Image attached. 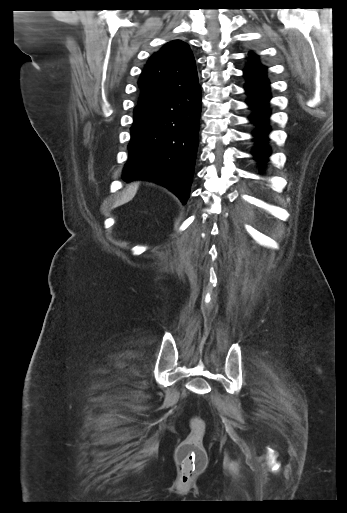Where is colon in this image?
<instances>
[{
    "instance_id": "5ec220e1",
    "label": "colon",
    "mask_w": 347,
    "mask_h": 513,
    "mask_svg": "<svg viewBox=\"0 0 347 513\" xmlns=\"http://www.w3.org/2000/svg\"><path fill=\"white\" fill-rule=\"evenodd\" d=\"M205 424L198 418L190 420V433L181 444L178 452V465L188 476L201 472L206 465V454L203 448Z\"/></svg>"
}]
</instances>
